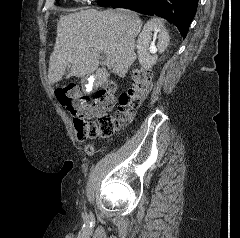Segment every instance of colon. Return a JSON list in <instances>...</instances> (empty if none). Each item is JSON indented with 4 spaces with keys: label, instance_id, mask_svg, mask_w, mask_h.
Listing matches in <instances>:
<instances>
[{
    "label": "colon",
    "instance_id": "1",
    "mask_svg": "<svg viewBox=\"0 0 240 238\" xmlns=\"http://www.w3.org/2000/svg\"><path fill=\"white\" fill-rule=\"evenodd\" d=\"M151 88V73L144 68L131 72V85L118 98L115 114L106 111L114 105V87L109 85L97 91L90 101L75 84L59 86L55 96L59 103L72 115L73 125L80 140L108 137L118 131L122 124L129 123L135 109L140 105ZM92 152V148H87Z\"/></svg>",
    "mask_w": 240,
    "mask_h": 238
}]
</instances>
